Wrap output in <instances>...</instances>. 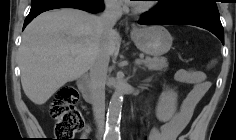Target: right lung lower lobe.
Listing matches in <instances>:
<instances>
[{"label": "right lung lower lobe", "mask_w": 236, "mask_h": 140, "mask_svg": "<svg viewBox=\"0 0 236 140\" xmlns=\"http://www.w3.org/2000/svg\"><path fill=\"white\" fill-rule=\"evenodd\" d=\"M66 7L77 8L90 13L101 12L104 9L102 1L100 5L94 6L81 0H51L36 5H32L30 13L25 19L23 28H25L36 16H38L42 12L51 9L66 8Z\"/></svg>", "instance_id": "right-lung-lower-lobe-1"}]
</instances>
